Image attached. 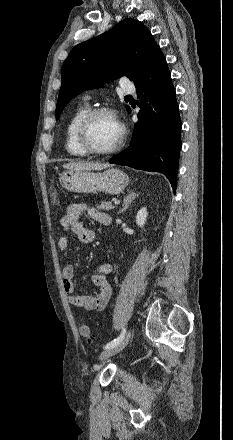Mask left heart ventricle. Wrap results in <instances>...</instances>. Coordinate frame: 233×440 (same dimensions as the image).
Here are the masks:
<instances>
[{"label": "left heart ventricle", "mask_w": 233, "mask_h": 440, "mask_svg": "<svg viewBox=\"0 0 233 440\" xmlns=\"http://www.w3.org/2000/svg\"><path fill=\"white\" fill-rule=\"evenodd\" d=\"M120 128L110 115H99L90 123L87 140L89 144L99 150L111 148L118 140Z\"/></svg>", "instance_id": "obj_1"}]
</instances>
